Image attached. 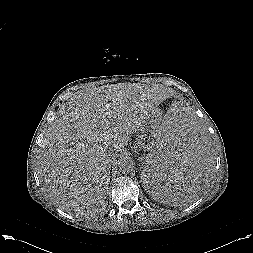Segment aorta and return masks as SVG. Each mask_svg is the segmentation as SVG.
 <instances>
[{
  "mask_svg": "<svg viewBox=\"0 0 253 253\" xmlns=\"http://www.w3.org/2000/svg\"><path fill=\"white\" fill-rule=\"evenodd\" d=\"M135 168L134 160L130 157H123L119 161V171L123 174L131 173Z\"/></svg>",
  "mask_w": 253,
  "mask_h": 253,
  "instance_id": "obj_1",
  "label": "aorta"
}]
</instances>
